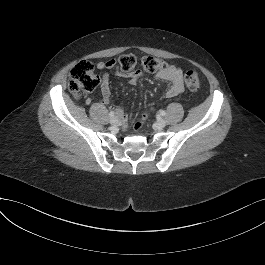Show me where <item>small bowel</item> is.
<instances>
[{"label":"small bowel","mask_w":265,"mask_h":265,"mask_svg":"<svg viewBox=\"0 0 265 265\" xmlns=\"http://www.w3.org/2000/svg\"><path fill=\"white\" fill-rule=\"evenodd\" d=\"M97 68L100 70L114 69L117 75L126 77L128 82L131 85H135L143 74L142 71L140 70H137L130 74H125L121 72L118 68V65L115 59H110L108 61H100L97 64ZM157 78L167 81L169 83V87L167 88L165 92L166 96L169 98L175 97L184 91L183 70L178 66H174V65L167 66V68L164 71L157 73ZM100 92H101V97H102L101 103L105 105H109L110 98H111V88H110L108 74H104L101 79ZM86 103L90 105L92 103V100L88 98L86 100ZM111 108L115 111L116 115L120 118L123 124H126L129 122L130 118L123 111L122 108L115 107V106H112Z\"/></svg>","instance_id":"small-bowel-1"}]
</instances>
